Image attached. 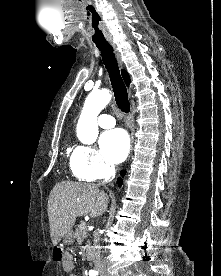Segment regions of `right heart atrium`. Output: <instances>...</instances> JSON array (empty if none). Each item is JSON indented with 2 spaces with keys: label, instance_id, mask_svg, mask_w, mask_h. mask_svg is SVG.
<instances>
[{
  "label": "right heart atrium",
  "instance_id": "d8ad5b80",
  "mask_svg": "<svg viewBox=\"0 0 221 276\" xmlns=\"http://www.w3.org/2000/svg\"><path fill=\"white\" fill-rule=\"evenodd\" d=\"M71 163L77 177L85 181L101 179L113 172V166L91 146L76 147L71 157Z\"/></svg>",
  "mask_w": 221,
  "mask_h": 276
}]
</instances>
